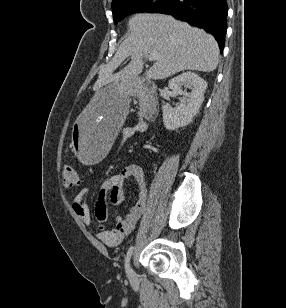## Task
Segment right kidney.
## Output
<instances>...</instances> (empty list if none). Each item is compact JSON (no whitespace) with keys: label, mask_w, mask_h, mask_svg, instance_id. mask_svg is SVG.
<instances>
[{"label":"right kidney","mask_w":286,"mask_h":308,"mask_svg":"<svg viewBox=\"0 0 286 308\" xmlns=\"http://www.w3.org/2000/svg\"><path fill=\"white\" fill-rule=\"evenodd\" d=\"M181 86L189 88L191 92L182 91ZM169 88L174 93L184 96L174 109L167 103L162 106L163 124L167 130L173 131L189 125L197 115L204 101L207 82L196 73L185 72L172 78Z\"/></svg>","instance_id":"obj_1"}]
</instances>
